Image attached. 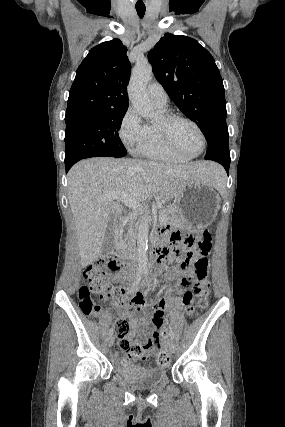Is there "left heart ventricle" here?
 <instances>
[{"label":"left heart ventricle","mask_w":285,"mask_h":427,"mask_svg":"<svg viewBox=\"0 0 285 427\" xmlns=\"http://www.w3.org/2000/svg\"><path fill=\"white\" fill-rule=\"evenodd\" d=\"M161 123V117L156 124ZM173 138L177 145L189 154H195L202 147V140L197 130L189 123L178 121L171 128Z\"/></svg>","instance_id":"b2bd125f"}]
</instances>
